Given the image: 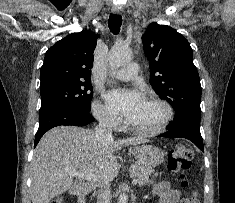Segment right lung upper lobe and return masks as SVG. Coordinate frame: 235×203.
<instances>
[{"label":"right lung upper lobe","instance_id":"cb5924a9","mask_svg":"<svg viewBox=\"0 0 235 203\" xmlns=\"http://www.w3.org/2000/svg\"><path fill=\"white\" fill-rule=\"evenodd\" d=\"M97 35L91 31L72 33L45 54L40 85L66 80H90Z\"/></svg>","mask_w":235,"mask_h":203}]
</instances>
